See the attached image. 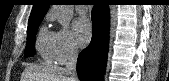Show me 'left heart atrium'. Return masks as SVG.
Masks as SVG:
<instances>
[{"label": "left heart atrium", "mask_w": 169, "mask_h": 81, "mask_svg": "<svg viewBox=\"0 0 169 81\" xmlns=\"http://www.w3.org/2000/svg\"><path fill=\"white\" fill-rule=\"evenodd\" d=\"M73 32L77 43L81 46L86 45L91 38L92 27L90 21L85 17H80L73 24Z\"/></svg>", "instance_id": "1"}]
</instances>
